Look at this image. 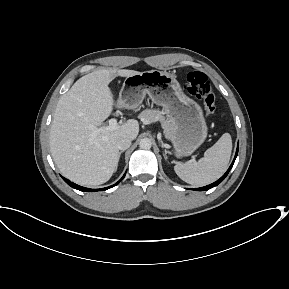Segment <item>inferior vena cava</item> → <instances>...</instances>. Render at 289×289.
<instances>
[{"label":"inferior vena cava","instance_id":"inferior-vena-cava-1","mask_svg":"<svg viewBox=\"0 0 289 289\" xmlns=\"http://www.w3.org/2000/svg\"><path fill=\"white\" fill-rule=\"evenodd\" d=\"M131 141L132 140L129 137L123 136L117 140L116 146L119 150H126L130 147Z\"/></svg>","mask_w":289,"mask_h":289}]
</instances>
